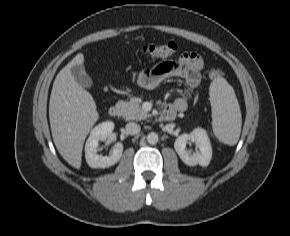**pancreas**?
Returning <instances> with one entry per match:
<instances>
[{
	"mask_svg": "<svg viewBox=\"0 0 290 236\" xmlns=\"http://www.w3.org/2000/svg\"><path fill=\"white\" fill-rule=\"evenodd\" d=\"M117 107L121 108L122 116L126 120H144L150 117V114L142 109L138 100L130 99V101H118Z\"/></svg>",
	"mask_w": 290,
	"mask_h": 236,
	"instance_id": "1",
	"label": "pancreas"
}]
</instances>
